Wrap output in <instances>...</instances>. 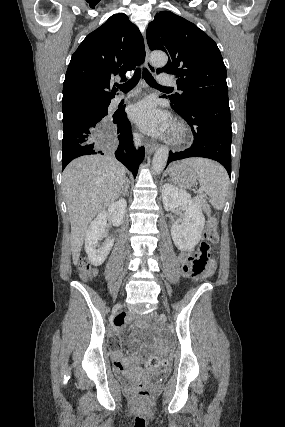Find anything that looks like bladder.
I'll list each match as a JSON object with an SVG mask.
<instances>
[{
    "mask_svg": "<svg viewBox=\"0 0 285 427\" xmlns=\"http://www.w3.org/2000/svg\"><path fill=\"white\" fill-rule=\"evenodd\" d=\"M124 375L127 380H133L136 377H140V376L150 378L153 380H162L165 378V374L162 372L156 371L152 373H145L141 369H137V368H130L125 372Z\"/></svg>",
    "mask_w": 285,
    "mask_h": 427,
    "instance_id": "obj_1",
    "label": "bladder"
}]
</instances>
